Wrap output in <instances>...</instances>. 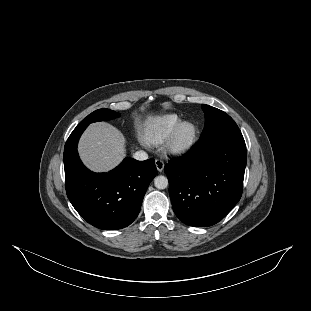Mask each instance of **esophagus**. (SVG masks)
Instances as JSON below:
<instances>
[{
	"instance_id": "obj_1",
	"label": "esophagus",
	"mask_w": 311,
	"mask_h": 311,
	"mask_svg": "<svg viewBox=\"0 0 311 311\" xmlns=\"http://www.w3.org/2000/svg\"><path fill=\"white\" fill-rule=\"evenodd\" d=\"M155 165H156V168H157V170H158L159 172H162L163 169H164V166H165L163 160H161V159H156V160H155Z\"/></svg>"
}]
</instances>
